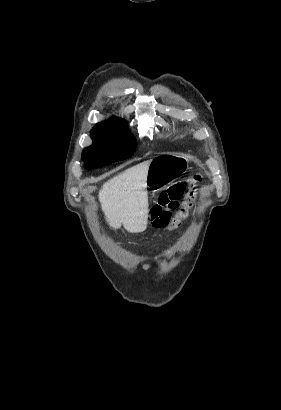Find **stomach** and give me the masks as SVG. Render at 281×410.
Instances as JSON below:
<instances>
[{
	"mask_svg": "<svg viewBox=\"0 0 281 410\" xmlns=\"http://www.w3.org/2000/svg\"><path fill=\"white\" fill-rule=\"evenodd\" d=\"M188 169V160L181 155L165 153L151 159L146 184L153 191L167 187Z\"/></svg>",
	"mask_w": 281,
	"mask_h": 410,
	"instance_id": "obj_1",
	"label": "stomach"
}]
</instances>
